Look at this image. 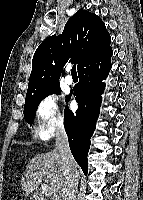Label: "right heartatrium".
Masks as SVG:
<instances>
[{"label": "right heart atrium", "instance_id": "obj_1", "mask_svg": "<svg viewBox=\"0 0 143 200\" xmlns=\"http://www.w3.org/2000/svg\"><path fill=\"white\" fill-rule=\"evenodd\" d=\"M36 134L40 139H48L64 125V117L54 93L44 95L36 106Z\"/></svg>", "mask_w": 143, "mask_h": 200}]
</instances>
